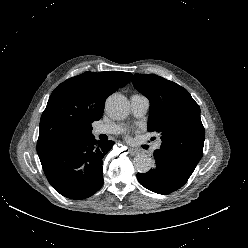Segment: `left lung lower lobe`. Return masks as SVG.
<instances>
[{
    "label": "left lung lower lobe",
    "instance_id": "0a47b994",
    "mask_svg": "<svg viewBox=\"0 0 248 248\" xmlns=\"http://www.w3.org/2000/svg\"><path fill=\"white\" fill-rule=\"evenodd\" d=\"M155 167L147 173H138L141 185L158 194H169L181 188L193 173L172 157L155 150Z\"/></svg>",
    "mask_w": 248,
    "mask_h": 248
}]
</instances>
